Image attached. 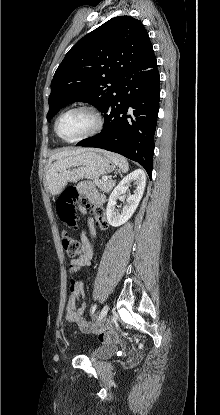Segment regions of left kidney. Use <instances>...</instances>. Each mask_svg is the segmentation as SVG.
<instances>
[{"label":"left kidney","instance_id":"5707ae66","mask_svg":"<svg viewBox=\"0 0 220 415\" xmlns=\"http://www.w3.org/2000/svg\"><path fill=\"white\" fill-rule=\"evenodd\" d=\"M131 182L137 185L136 189L134 191V194H129L127 196V205H125L123 207L122 212L119 213L115 209L116 201L120 195L127 192ZM145 185L146 175L142 169H137L129 175H127L126 177H124L121 180V182L116 186V188L113 190L109 197L106 209L107 220L111 226L118 227L126 223L131 218L143 196Z\"/></svg>","mask_w":220,"mask_h":415}]
</instances>
